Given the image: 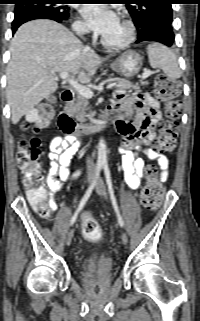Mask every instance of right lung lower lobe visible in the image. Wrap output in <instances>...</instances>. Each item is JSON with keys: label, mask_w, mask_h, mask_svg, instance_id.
Returning a JSON list of instances; mask_svg holds the SVG:
<instances>
[{"label": "right lung lower lobe", "mask_w": 200, "mask_h": 321, "mask_svg": "<svg viewBox=\"0 0 200 321\" xmlns=\"http://www.w3.org/2000/svg\"><path fill=\"white\" fill-rule=\"evenodd\" d=\"M34 19H51L59 23L65 22L56 15H53L46 11H23L15 14L14 20L12 22V33L14 34L17 28L23 23Z\"/></svg>", "instance_id": "right-lung-lower-lobe-1"}]
</instances>
